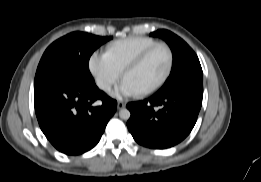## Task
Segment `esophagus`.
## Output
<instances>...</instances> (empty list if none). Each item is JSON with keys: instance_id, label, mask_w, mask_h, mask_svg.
<instances>
[{"instance_id": "obj_1", "label": "esophagus", "mask_w": 261, "mask_h": 182, "mask_svg": "<svg viewBox=\"0 0 261 182\" xmlns=\"http://www.w3.org/2000/svg\"><path fill=\"white\" fill-rule=\"evenodd\" d=\"M125 106H126L125 102L120 101L117 103V109L119 110L125 108Z\"/></svg>"}]
</instances>
